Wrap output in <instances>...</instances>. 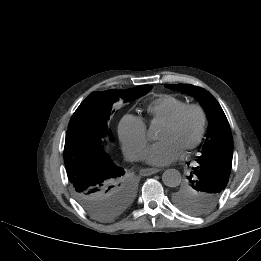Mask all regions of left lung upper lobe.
<instances>
[{
  "label": "left lung upper lobe",
  "mask_w": 261,
  "mask_h": 261,
  "mask_svg": "<svg viewBox=\"0 0 261 261\" xmlns=\"http://www.w3.org/2000/svg\"><path fill=\"white\" fill-rule=\"evenodd\" d=\"M165 87L187 93L199 101L208 118L206 140L188 179L172 195L173 202L192 215L210 211L223 194L231 172L233 138L218 101L207 90L189 84Z\"/></svg>",
  "instance_id": "1"
}]
</instances>
